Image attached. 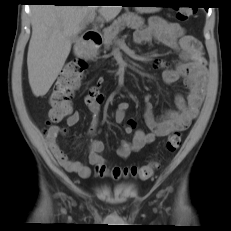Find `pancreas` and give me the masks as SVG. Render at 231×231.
I'll return each instance as SVG.
<instances>
[{"label":"pancreas","instance_id":"pancreas-1","mask_svg":"<svg viewBox=\"0 0 231 231\" xmlns=\"http://www.w3.org/2000/svg\"><path fill=\"white\" fill-rule=\"evenodd\" d=\"M132 29H141L144 27V19L134 13L127 12L118 17L108 28L103 32L104 45L109 48L113 41L116 40L120 31L125 27Z\"/></svg>","mask_w":231,"mask_h":231}]
</instances>
